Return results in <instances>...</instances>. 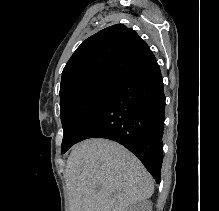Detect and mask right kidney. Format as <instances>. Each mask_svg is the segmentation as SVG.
<instances>
[{
  "mask_svg": "<svg viewBox=\"0 0 219 211\" xmlns=\"http://www.w3.org/2000/svg\"><path fill=\"white\" fill-rule=\"evenodd\" d=\"M129 211H152V201L144 199V201H137L130 205Z\"/></svg>",
  "mask_w": 219,
  "mask_h": 211,
  "instance_id": "1",
  "label": "right kidney"
}]
</instances>
